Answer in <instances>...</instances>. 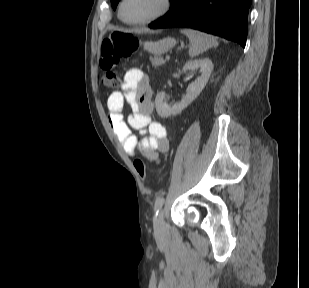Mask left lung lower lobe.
Listing matches in <instances>:
<instances>
[{
	"instance_id": "0a47b994",
	"label": "left lung lower lobe",
	"mask_w": 309,
	"mask_h": 288,
	"mask_svg": "<svg viewBox=\"0 0 309 288\" xmlns=\"http://www.w3.org/2000/svg\"><path fill=\"white\" fill-rule=\"evenodd\" d=\"M252 0H176L170 11L149 24L152 29L187 27L214 34L245 47Z\"/></svg>"
}]
</instances>
